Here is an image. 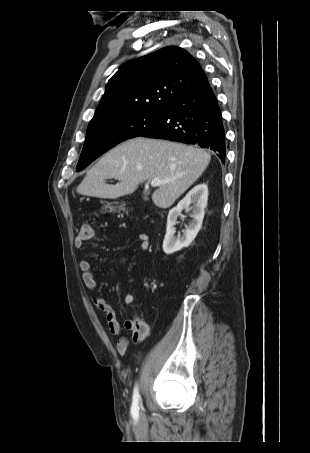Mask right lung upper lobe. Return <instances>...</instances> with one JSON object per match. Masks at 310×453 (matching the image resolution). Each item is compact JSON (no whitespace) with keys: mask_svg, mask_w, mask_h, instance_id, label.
Segmentation results:
<instances>
[{"mask_svg":"<svg viewBox=\"0 0 310 453\" xmlns=\"http://www.w3.org/2000/svg\"><path fill=\"white\" fill-rule=\"evenodd\" d=\"M204 77L196 59L180 47L130 60L109 80L91 121L121 112L164 110Z\"/></svg>","mask_w":310,"mask_h":453,"instance_id":"right-lung-upper-lobe-1","label":"right lung upper lobe"}]
</instances>
